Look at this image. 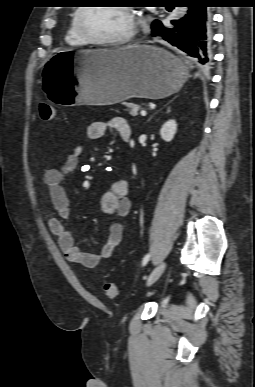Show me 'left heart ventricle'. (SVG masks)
Masks as SVG:
<instances>
[{
    "label": "left heart ventricle",
    "mask_w": 255,
    "mask_h": 387,
    "mask_svg": "<svg viewBox=\"0 0 255 387\" xmlns=\"http://www.w3.org/2000/svg\"><path fill=\"white\" fill-rule=\"evenodd\" d=\"M86 30L98 39H116L129 32L130 16L119 7H91L83 14Z\"/></svg>",
    "instance_id": "obj_1"
}]
</instances>
